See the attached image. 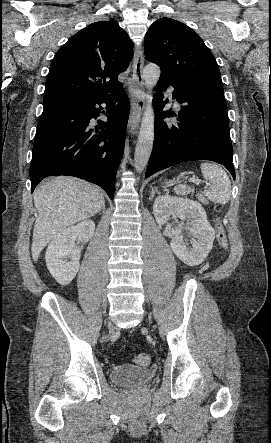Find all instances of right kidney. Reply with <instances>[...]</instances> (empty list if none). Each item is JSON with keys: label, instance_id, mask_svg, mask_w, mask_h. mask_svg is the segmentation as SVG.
<instances>
[{"label": "right kidney", "instance_id": "right-kidney-1", "mask_svg": "<svg viewBox=\"0 0 271 443\" xmlns=\"http://www.w3.org/2000/svg\"><path fill=\"white\" fill-rule=\"evenodd\" d=\"M94 229L95 223L92 220H84L77 225L66 227L50 241L46 249V263L58 283L67 285L74 279L83 249L82 245H76L75 241H89Z\"/></svg>", "mask_w": 271, "mask_h": 443}]
</instances>
